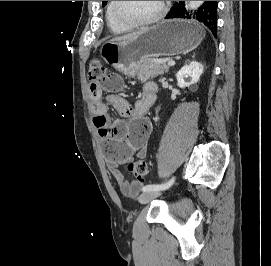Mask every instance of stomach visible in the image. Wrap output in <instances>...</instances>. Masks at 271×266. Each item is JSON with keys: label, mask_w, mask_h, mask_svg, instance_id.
Listing matches in <instances>:
<instances>
[{"label": "stomach", "mask_w": 271, "mask_h": 266, "mask_svg": "<svg viewBox=\"0 0 271 266\" xmlns=\"http://www.w3.org/2000/svg\"><path fill=\"white\" fill-rule=\"evenodd\" d=\"M205 36L201 25L187 20H165L138 36L119 42H107L101 49L103 60L119 72L134 76L147 57L186 53Z\"/></svg>", "instance_id": "1"}]
</instances>
